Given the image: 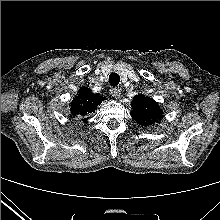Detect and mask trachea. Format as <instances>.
<instances>
[{
	"label": "trachea",
	"mask_w": 220,
	"mask_h": 220,
	"mask_svg": "<svg viewBox=\"0 0 220 220\" xmlns=\"http://www.w3.org/2000/svg\"><path fill=\"white\" fill-rule=\"evenodd\" d=\"M120 82V76L119 74L112 72L109 76V83L111 86L115 87L119 84Z\"/></svg>",
	"instance_id": "obj_1"
}]
</instances>
